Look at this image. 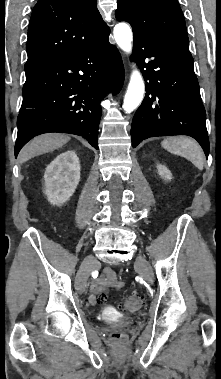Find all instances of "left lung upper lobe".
<instances>
[{
    "instance_id": "5c2ea615",
    "label": "left lung upper lobe",
    "mask_w": 221,
    "mask_h": 379,
    "mask_svg": "<svg viewBox=\"0 0 221 379\" xmlns=\"http://www.w3.org/2000/svg\"><path fill=\"white\" fill-rule=\"evenodd\" d=\"M116 18L163 43L189 51V39L177 0H118Z\"/></svg>"
}]
</instances>
